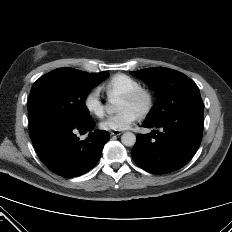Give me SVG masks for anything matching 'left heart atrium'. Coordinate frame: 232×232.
I'll list each match as a JSON object with an SVG mask.
<instances>
[{
  "label": "left heart atrium",
  "mask_w": 232,
  "mask_h": 232,
  "mask_svg": "<svg viewBox=\"0 0 232 232\" xmlns=\"http://www.w3.org/2000/svg\"><path fill=\"white\" fill-rule=\"evenodd\" d=\"M139 118V113L133 109H125L107 117L100 127L107 131H123L129 129Z\"/></svg>",
  "instance_id": "1"
}]
</instances>
